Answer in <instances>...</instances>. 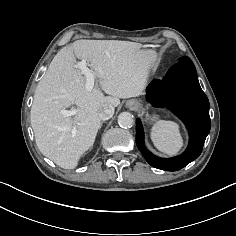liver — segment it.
<instances>
[{
  "mask_svg": "<svg viewBox=\"0 0 236 236\" xmlns=\"http://www.w3.org/2000/svg\"><path fill=\"white\" fill-rule=\"evenodd\" d=\"M146 47L130 41L77 40L55 55L36 87L30 114L37 147L45 157L61 168H76L101 128V109L144 94L157 59ZM76 58L86 60L97 78L92 90L86 89ZM73 105V116L61 114Z\"/></svg>",
  "mask_w": 236,
  "mask_h": 236,
  "instance_id": "liver-1",
  "label": "liver"
}]
</instances>
